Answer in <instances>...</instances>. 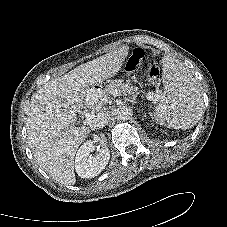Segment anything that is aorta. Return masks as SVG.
<instances>
[{
  "label": "aorta",
  "instance_id": "aorta-1",
  "mask_svg": "<svg viewBox=\"0 0 227 227\" xmlns=\"http://www.w3.org/2000/svg\"><path fill=\"white\" fill-rule=\"evenodd\" d=\"M114 115L117 120H128L131 117V109L127 106H119L114 110Z\"/></svg>",
  "mask_w": 227,
  "mask_h": 227
}]
</instances>
